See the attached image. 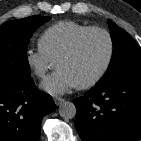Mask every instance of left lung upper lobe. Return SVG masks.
<instances>
[{"instance_id": "1", "label": "left lung upper lobe", "mask_w": 141, "mask_h": 141, "mask_svg": "<svg viewBox=\"0 0 141 141\" xmlns=\"http://www.w3.org/2000/svg\"><path fill=\"white\" fill-rule=\"evenodd\" d=\"M113 53L105 75L96 85L111 83L118 79L141 75V48L122 28L108 20Z\"/></svg>"}]
</instances>
